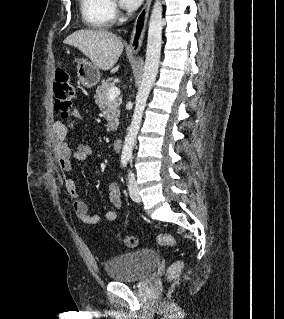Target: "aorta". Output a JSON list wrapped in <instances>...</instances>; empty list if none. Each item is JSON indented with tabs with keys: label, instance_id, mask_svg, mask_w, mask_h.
<instances>
[{
	"label": "aorta",
	"instance_id": "obj_1",
	"mask_svg": "<svg viewBox=\"0 0 284 319\" xmlns=\"http://www.w3.org/2000/svg\"><path fill=\"white\" fill-rule=\"evenodd\" d=\"M162 3L156 0L150 16L146 59L142 75V81L136 95V102L132 121L125 137L121 159L129 160L140 129L143 112L152 86L156 80L160 64L162 43Z\"/></svg>",
	"mask_w": 284,
	"mask_h": 319
}]
</instances>
